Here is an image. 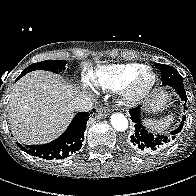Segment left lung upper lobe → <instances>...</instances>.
I'll return each instance as SVG.
<instances>
[{"label":"left lung upper lobe","instance_id":"left-lung-upper-lobe-1","mask_svg":"<svg viewBox=\"0 0 196 196\" xmlns=\"http://www.w3.org/2000/svg\"><path fill=\"white\" fill-rule=\"evenodd\" d=\"M163 65H164V64H160V63H156V64H155V66H156L158 69H159L160 66H163ZM167 66H168V65H167ZM168 67H171V66H168ZM172 68H173V67H172ZM178 74H179V73H178ZM179 76H180V74H179ZM180 80L183 81L181 76H180ZM162 85H165V83L162 82Z\"/></svg>","mask_w":196,"mask_h":196}]
</instances>
